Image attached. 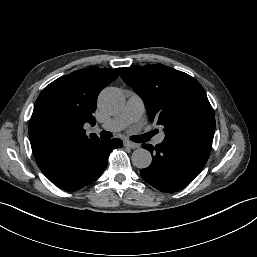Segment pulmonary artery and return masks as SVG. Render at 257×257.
I'll return each mask as SVG.
<instances>
[{
    "label": "pulmonary artery",
    "instance_id": "obj_1",
    "mask_svg": "<svg viewBox=\"0 0 257 257\" xmlns=\"http://www.w3.org/2000/svg\"><path fill=\"white\" fill-rule=\"evenodd\" d=\"M144 111L145 106L142 98L137 94H132L129 96L122 112L117 117L102 124V127L110 131L123 130L130 124L138 122ZM164 138L165 134L163 132L158 134L154 139L155 144H161Z\"/></svg>",
    "mask_w": 257,
    "mask_h": 257
}]
</instances>
